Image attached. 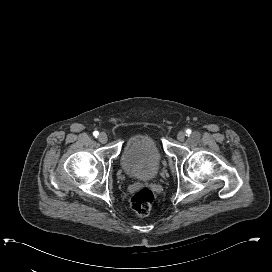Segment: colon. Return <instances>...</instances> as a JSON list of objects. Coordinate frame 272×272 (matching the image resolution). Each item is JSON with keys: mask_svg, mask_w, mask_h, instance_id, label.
<instances>
[{"mask_svg": "<svg viewBox=\"0 0 272 272\" xmlns=\"http://www.w3.org/2000/svg\"><path fill=\"white\" fill-rule=\"evenodd\" d=\"M154 193L147 188L138 190L131 199V205L139 217H146L154 204Z\"/></svg>", "mask_w": 272, "mask_h": 272, "instance_id": "obj_1", "label": "colon"}]
</instances>
